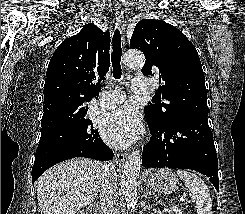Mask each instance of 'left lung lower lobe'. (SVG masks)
Here are the masks:
<instances>
[{
    "instance_id": "1",
    "label": "left lung lower lobe",
    "mask_w": 245,
    "mask_h": 214,
    "mask_svg": "<svg viewBox=\"0 0 245 214\" xmlns=\"http://www.w3.org/2000/svg\"><path fill=\"white\" fill-rule=\"evenodd\" d=\"M147 123L152 137L143 148L144 167L192 169L206 175L218 191L217 154L207 115H190L168 126Z\"/></svg>"
}]
</instances>
